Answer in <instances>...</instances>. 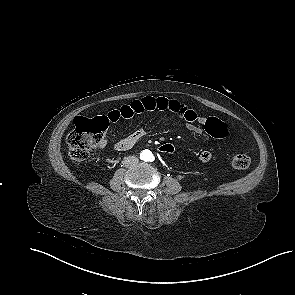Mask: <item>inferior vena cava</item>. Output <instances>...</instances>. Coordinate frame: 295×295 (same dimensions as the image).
I'll return each mask as SVG.
<instances>
[{
    "instance_id": "1",
    "label": "inferior vena cava",
    "mask_w": 295,
    "mask_h": 295,
    "mask_svg": "<svg viewBox=\"0 0 295 295\" xmlns=\"http://www.w3.org/2000/svg\"><path fill=\"white\" fill-rule=\"evenodd\" d=\"M139 159L135 156H127L123 160V165L128 168V167H133L136 164H138Z\"/></svg>"
}]
</instances>
